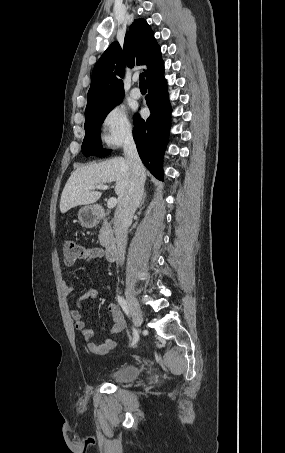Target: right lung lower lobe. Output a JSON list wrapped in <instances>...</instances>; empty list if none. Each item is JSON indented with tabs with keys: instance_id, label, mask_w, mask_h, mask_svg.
Segmentation results:
<instances>
[{
	"instance_id": "right-lung-lower-lobe-1",
	"label": "right lung lower lobe",
	"mask_w": 285,
	"mask_h": 453,
	"mask_svg": "<svg viewBox=\"0 0 285 453\" xmlns=\"http://www.w3.org/2000/svg\"><path fill=\"white\" fill-rule=\"evenodd\" d=\"M147 105L151 115L143 120L134 116L133 137L144 165L159 180H163L162 161L170 130L171 106L164 78V68L147 80Z\"/></svg>"
}]
</instances>
